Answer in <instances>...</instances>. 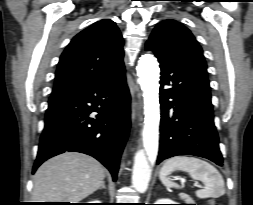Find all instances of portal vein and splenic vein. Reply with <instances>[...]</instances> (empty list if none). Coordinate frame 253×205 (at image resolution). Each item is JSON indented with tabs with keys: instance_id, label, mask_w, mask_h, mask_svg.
Instances as JSON below:
<instances>
[{
	"instance_id": "obj_1",
	"label": "portal vein and splenic vein",
	"mask_w": 253,
	"mask_h": 205,
	"mask_svg": "<svg viewBox=\"0 0 253 205\" xmlns=\"http://www.w3.org/2000/svg\"><path fill=\"white\" fill-rule=\"evenodd\" d=\"M182 181H183V180H182ZM194 186H198V187H201V186H199V185H198V183H194Z\"/></svg>"
}]
</instances>
